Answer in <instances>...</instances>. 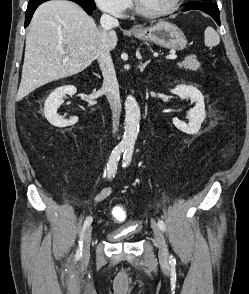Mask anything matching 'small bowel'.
Returning <instances> with one entry per match:
<instances>
[{
    "label": "small bowel",
    "mask_w": 249,
    "mask_h": 294,
    "mask_svg": "<svg viewBox=\"0 0 249 294\" xmlns=\"http://www.w3.org/2000/svg\"><path fill=\"white\" fill-rule=\"evenodd\" d=\"M113 191H114V187H112V186L102 188L98 193H96L93 196L94 204H100L103 201H105L107 198H109L112 195ZM115 211H116V208H113L112 216L114 217V219L119 220V221L122 220V219H118L115 217Z\"/></svg>",
    "instance_id": "small-bowel-1"
}]
</instances>
